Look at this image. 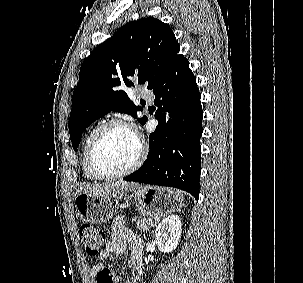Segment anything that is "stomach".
Instances as JSON below:
<instances>
[{"label":"stomach","instance_id":"1","mask_svg":"<svg viewBox=\"0 0 303 283\" xmlns=\"http://www.w3.org/2000/svg\"><path fill=\"white\" fill-rule=\"evenodd\" d=\"M132 190L138 210L145 216H165L181 210L184 205V196L175 189L145 186ZM75 208L80 219L90 223H105L114 215L108 195L79 193L75 198Z\"/></svg>","mask_w":303,"mask_h":283}]
</instances>
